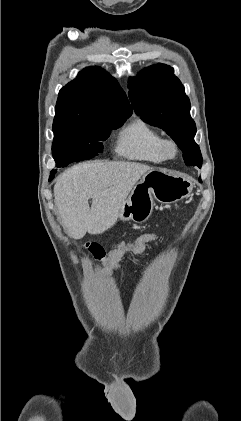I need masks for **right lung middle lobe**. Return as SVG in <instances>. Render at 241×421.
I'll use <instances>...</instances> for the list:
<instances>
[{"mask_svg":"<svg viewBox=\"0 0 241 421\" xmlns=\"http://www.w3.org/2000/svg\"><path fill=\"white\" fill-rule=\"evenodd\" d=\"M127 118L102 117L92 121L55 118L53 123V158L56 166L91 159L102 152L103 144L113 129Z\"/></svg>","mask_w":241,"mask_h":421,"instance_id":"1","label":"right lung middle lobe"}]
</instances>
